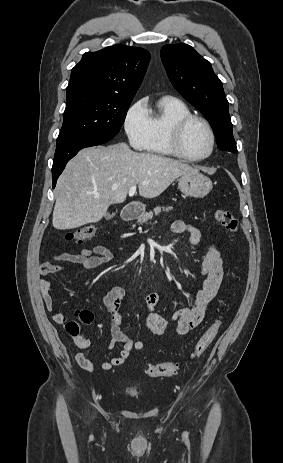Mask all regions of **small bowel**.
Instances as JSON below:
<instances>
[{
  "mask_svg": "<svg viewBox=\"0 0 283 463\" xmlns=\"http://www.w3.org/2000/svg\"><path fill=\"white\" fill-rule=\"evenodd\" d=\"M174 234H187L191 248H196L201 241V232L193 225L181 220L174 221L171 225ZM112 252L104 245H95L92 249H82L80 253L73 254L61 252L52 259L42 262L39 270L40 279L38 289L41 300L46 309L53 313L52 317L57 323L63 321V314L55 311V304L50 295V281L45 276L59 272L64 269L63 263L82 267L85 271L91 272L96 268L108 263L112 259ZM200 275L205 278L202 288L197 292L195 300L190 307L179 309L174 317L175 331L178 335H185L191 329L198 326L203 320L210 303L218 293L224 277L223 260L220 252L215 245L208 247L204 256ZM128 293L122 287H114L103 299L102 304L110 315V344L112 348L115 344L121 343L122 350L118 356L112 357L101 363L100 369L103 371L111 370L116 366L122 365L128 358L130 352L141 350L143 343L136 340L133 336L123 332V320L121 314L122 302L127 298ZM160 299L158 292H151L145 297V305L148 310L146 320L147 327L151 334L163 337L167 334L170 323L162 317L156 310V305ZM78 348L84 350L90 346L89 341L80 340L73 337ZM77 363L88 372H95L97 366L86 355L79 352L75 355Z\"/></svg>",
  "mask_w": 283,
  "mask_h": 463,
  "instance_id": "c3829d8e",
  "label": "small bowel"
}]
</instances>
